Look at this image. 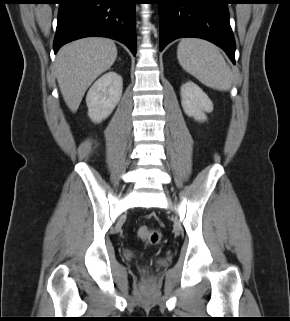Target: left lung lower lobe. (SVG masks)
<instances>
[{
  "label": "left lung lower lobe",
  "mask_w": 290,
  "mask_h": 321,
  "mask_svg": "<svg viewBox=\"0 0 290 321\" xmlns=\"http://www.w3.org/2000/svg\"><path fill=\"white\" fill-rule=\"evenodd\" d=\"M229 3V0H159L160 51L177 38H202L221 47L235 64Z\"/></svg>",
  "instance_id": "0a47b994"
}]
</instances>
